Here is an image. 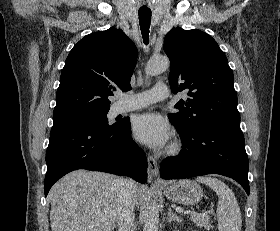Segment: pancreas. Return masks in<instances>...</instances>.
<instances>
[{
	"label": "pancreas",
	"instance_id": "pancreas-1",
	"mask_svg": "<svg viewBox=\"0 0 280 231\" xmlns=\"http://www.w3.org/2000/svg\"><path fill=\"white\" fill-rule=\"evenodd\" d=\"M190 215V219H192L196 225H200V227L204 225L205 229H212V221H210L209 215H206V213H195V211H191Z\"/></svg>",
	"mask_w": 280,
	"mask_h": 231
}]
</instances>
